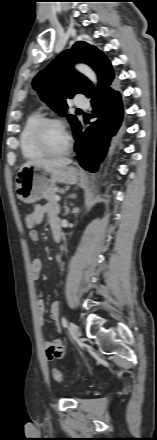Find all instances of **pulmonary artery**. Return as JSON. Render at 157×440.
<instances>
[{
  "instance_id": "obj_1",
  "label": "pulmonary artery",
  "mask_w": 157,
  "mask_h": 440,
  "mask_svg": "<svg viewBox=\"0 0 157 440\" xmlns=\"http://www.w3.org/2000/svg\"><path fill=\"white\" fill-rule=\"evenodd\" d=\"M74 104L79 106V107H84V108H88L89 107V102L86 99V97L82 94H77L75 99H74Z\"/></svg>"
}]
</instances>
